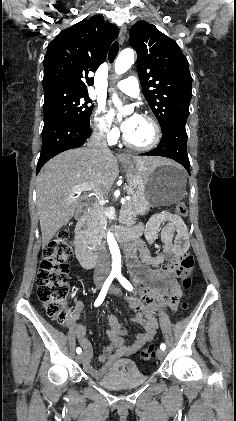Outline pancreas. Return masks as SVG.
Here are the masks:
<instances>
[{"label":"pancreas","mask_w":236,"mask_h":421,"mask_svg":"<svg viewBox=\"0 0 236 421\" xmlns=\"http://www.w3.org/2000/svg\"><path fill=\"white\" fill-rule=\"evenodd\" d=\"M106 213L105 208L100 206L99 202H96L80 223L81 235L86 237V241L92 243V247H98L99 243H102V239H104L107 225ZM118 221L121 225H126V227L135 225L137 219L132 200H125V204L121 206Z\"/></svg>","instance_id":"pancreas-1"}]
</instances>
